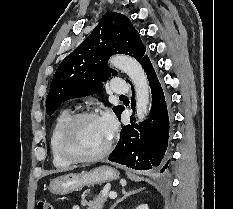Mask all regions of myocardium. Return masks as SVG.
Listing matches in <instances>:
<instances>
[{
    "mask_svg": "<svg viewBox=\"0 0 233 209\" xmlns=\"http://www.w3.org/2000/svg\"><path fill=\"white\" fill-rule=\"evenodd\" d=\"M90 117H98V114L95 113L94 111L91 110H84L80 111L78 113H75L71 115V117L68 119L66 122L61 138H60V150L61 154L65 159L72 163H89V162H94L97 160L102 159L105 157L109 151L111 150L112 147V139L111 137L108 138V141L106 145L103 147L102 150H100L98 153L89 155V156H83V155H78L74 153L71 148H70V141L72 138L73 131L76 127V125L83 119L90 118Z\"/></svg>",
    "mask_w": 233,
    "mask_h": 209,
    "instance_id": "f54148a6",
    "label": "myocardium"
}]
</instances>
